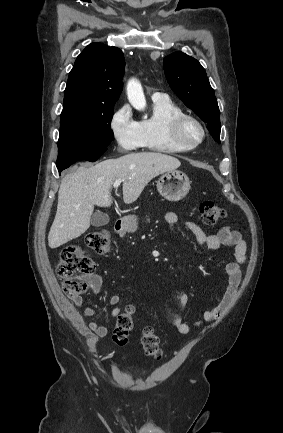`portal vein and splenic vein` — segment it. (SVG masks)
Listing matches in <instances>:
<instances>
[{"mask_svg":"<svg viewBox=\"0 0 283 433\" xmlns=\"http://www.w3.org/2000/svg\"><path fill=\"white\" fill-rule=\"evenodd\" d=\"M122 182V178H116L114 184H113V188H118L119 184H121Z\"/></svg>","mask_w":283,"mask_h":433,"instance_id":"1","label":"portal vein and splenic vein"}]
</instances>
